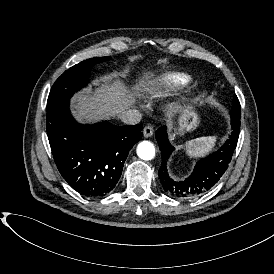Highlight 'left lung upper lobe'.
<instances>
[{"label":"left lung upper lobe","instance_id":"left-lung-upper-lobe-1","mask_svg":"<svg viewBox=\"0 0 274 274\" xmlns=\"http://www.w3.org/2000/svg\"><path fill=\"white\" fill-rule=\"evenodd\" d=\"M233 111H236V112L238 113V115L241 116L240 103H239V100H238V98H237L236 95L234 96L233 106H232V110H231V112H230V114H231V119H234V118H235V115H234Z\"/></svg>","mask_w":274,"mask_h":274}]
</instances>
